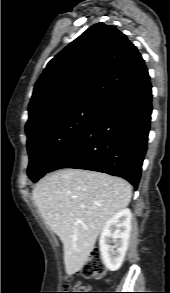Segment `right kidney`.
<instances>
[{"label":"right kidney","mask_w":170,"mask_h":293,"mask_svg":"<svg viewBox=\"0 0 170 293\" xmlns=\"http://www.w3.org/2000/svg\"><path fill=\"white\" fill-rule=\"evenodd\" d=\"M131 218L130 209L120 210L105 223L100 234L102 260L110 271L118 270L124 261L131 231Z\"/></svg>","instance_id":"right-kidney-1"}]
</instances>
